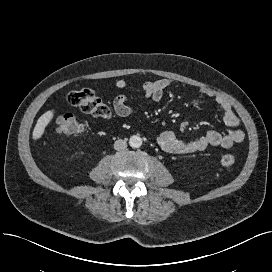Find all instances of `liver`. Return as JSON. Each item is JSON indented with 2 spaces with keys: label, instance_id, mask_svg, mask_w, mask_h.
Returning a JSON list of instances; mask_svg holds the SVG:
<instances>
[{
  "label": "liver",
  "instance_id": "obj_1",
  "mask_svg": "<svg viewBox=\"0 0 272 272\" xmlns=\"http://www.w3.org/2000/svg\"><path fill=\"white\" fill-rule=\"evenodd\" d=\"M53 116H54V110H49L40 116L32 133L33 140H38L42 137L46 126L53 119Z\"/></svg>",
  "mask_w": 272,
  "mask_h": 272
}]
</instances>
